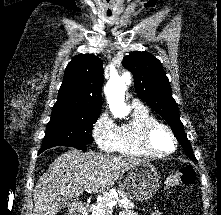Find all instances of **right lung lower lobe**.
I'll return each mask as SVG.
<instances>
[{"mask_svg": "<svg viewBox=\"0 0 221 215\" xmlns=\"http://www.w3.org/2000/svg\"><path fill=\"white\" fill-rule=\"evenodd\" d=\"M72 147L80 149L82 151H86L87 150V144H76V145H73ZM46 149H48V148L42 147L41 150L39 151V154L41 152H43L44 150H46Z\"/></svg>", "mask_w": 221, "mask_h": 215, "instance_id": "1", "label": "right lung lower lobe"}]
</instances>
